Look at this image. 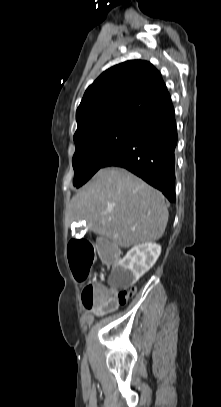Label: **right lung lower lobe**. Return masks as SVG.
I'll return each instance as SVG.
<instances>
[{
  "mask_svg": "<svg viewBox=\"0 0 221 407\" xmlns=\"http://www.w3.org/2000/svg\"><path fill=\"white\" fill-rule=\"evenodd\" d=\"M177 128L172 101L143 119L102 167L126 168L175 200Z\"/></svg>",
  "mask_w": 221,
  "mask_h": 407,
  "instance_id": "right-lung-lower-lobe-1",
  "label": "right lung lower lobe"
}]
</instances>
